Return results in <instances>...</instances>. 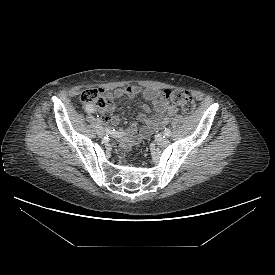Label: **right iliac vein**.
<instances>
[{
	"mask_svg": "<svg viewBox=\"0 0 275 275\" xmlns=\"http://www.w3.org/2000/svg\"><path fill=\"white\" fill-rule=\"evenodd\" d=\"M96 124H97V134H98V136L99 137H103L105 135V131H104L103 127H102L101 120L97 119Z\"/></svg>",
	"mask_w": 275,
	"mask_h": 275,
	"instance_id": "1",
	"label": "right iliac vein"
}]
</instances>
